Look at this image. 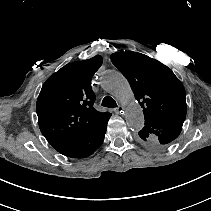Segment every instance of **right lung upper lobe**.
I'll return each instance as SVG.
<instances>
[{
  "label": "right lung upper lobe",
  "mask_w": 211,
  "mask_h": 211,
  "mask_svg": "<svg viewBox=\"0 0 211 211\" xmlns=\"http://www.w3.org/2000/svg\"><path fill=\"white\" fill-rule=\"evenodd\" d=\"M102 61L97 55L67 64L42 86L36 112L40 130L49 144L92 130L111 115L93 107L95 94L91 78Z\"/></svg>",
  "instance_id": "cb5924a9"
}]
</instances>
